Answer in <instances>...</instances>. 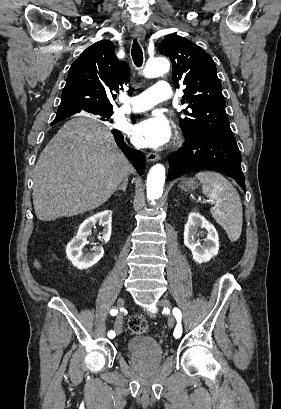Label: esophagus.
<instances>
[{
	"instance_id": "obj_1",
	"label": "esophagus",
	"mask_w": 281,
	"mask_h": 409,
	"mask_svg": "<svg viewBox=\"0 0 281 409\" xmlns=\"http://www.w3.org/2000/svg\"><path fill=\"white\" fill-rule=\"evenodd\" d=\"M134 36L138 38V40L143 41L145 38V33L142 31H135ZM159 158H160V155L155 152H150L147 155L148 162H156L157 160H159Z\"/></svg>"
}]
</instances>
